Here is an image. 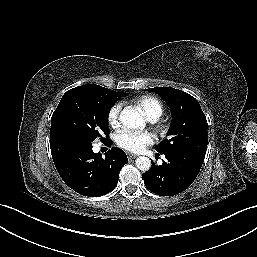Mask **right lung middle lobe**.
I'll use <instances>...</instances> for the list:
<instances>
[{"label":"right lung middle lobe","instance_id":"dd1d6c3e","mask_svg":"<svg viewBox=\"0 0 257 257\" xmlns=\"http://www.w3.org/2000/svg\"><path fill=\"white\" fill-rule=\"evenodd\" d=\"M125 95L95 84L68 90L52 115L50 141L70 137L107 141L110 109Z\"/></svg>","mask_w":257,"mask_h":257}]
</instances>
